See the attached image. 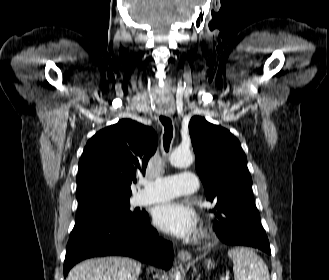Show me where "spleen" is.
I'll return each instance as SVG.
<instances>
[{"instance_id":"obj_1","label":"spleen","mask_w":329,"mask_h":280,"mask_svg":"<svg viewBox=\"0 0 329 280\" xmlns=\"http://www.w3.org/2000/svg\"><path fill=\"white\" fill-rule=\"evenodd\" d=\"M235 280H270L264 261L251 249L236 247L228 251Z\"/></svg>"}]
</instances>
